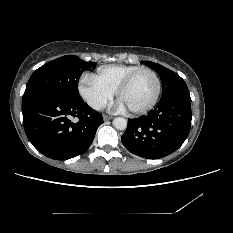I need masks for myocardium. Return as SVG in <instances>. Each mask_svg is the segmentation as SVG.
Masks as SVG:
<instances>
[{
    "label": "myocardium",
    "instance_id": "obj_1",
    "mask_svg": "<svg viewBox=\"0 0 233 233\" xmlns=\"http://www.w3.org/2000/svg\"><path fill=\"white\" fill-rule=\"evenodd\" d=\"M142 73H150L154 76L155 78V82H156V90H155V94H154V97L153 99L144 107L142 108H138V109H130L128 108V111L132 114H144L148 111H150L157 103L159 97H160V94H161V80H160V77L158 75V73L153 70V69H150V68H142V69H139L133 73H131L120 85L119 87L117 88L116 90V96L118 99H120V96L121 94L134 82V80L139 76L141 75Z\"/></svg>",
    "mask_w": 233,
    "mask_h": 233
}]
</instances>
